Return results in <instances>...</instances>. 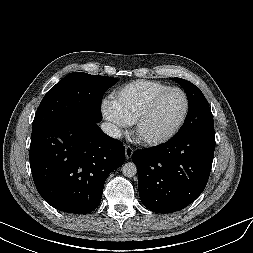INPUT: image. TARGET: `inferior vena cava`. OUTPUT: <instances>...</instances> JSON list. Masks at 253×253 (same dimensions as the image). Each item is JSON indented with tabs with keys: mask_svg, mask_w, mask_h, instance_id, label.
<instances>
[{
	"mask_svg": "<svg viewBox=\"0 0 253 253\" xmlns=\"http://www.w3.org/2000/svg\"><path fill=\"white\" fill-rule=\"evenodd\" d=\"M102 131L108 136L118 139L121 137V130L115 124L110 122H105L101 124Z\"/></svg>",
	"mask_w": 253,
	"mask_h": 253,
	"instance_id": "1",
	"label": "inferior vena cava"
}]
</instances>
